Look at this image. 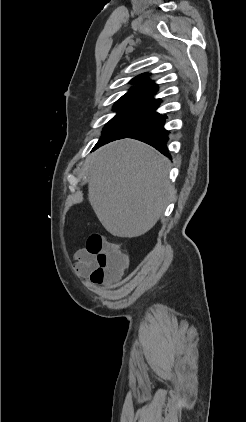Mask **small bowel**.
I'll list each match as a JSON object with an SVG mask.
<instances>
[{"mask_svg": "<svg viewBox=\"0 0 246 422\" xmlns=\"http://www.w3.org/2000/svg\"><path fill=\"white\" fill-rule=\"evenodd\" d=\"M75 270L83 276L89 277V283L95 286L111 287L114 279L97 280L92 277L93 271L97 267L96 257L90 254L86 249H78L75 253Z\"/></svg>", "mask_w": 246, "mask_h": 422, "instance_id": "obj_1", "label": "small bowel"}]
</instances>
